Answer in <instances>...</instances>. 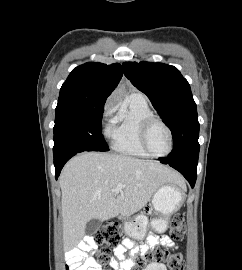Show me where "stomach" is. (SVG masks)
<instances>
[{"mask_svg": "<svg viewBox=\"0 0 242 270\" xmlns=\"http://www.w3.org/2000/svg\"><path fill=\"white\" fill-rule=\"evenodd\" d=\"M185 187L167 183L154 193L152 204L159 218L151 221V227L158 233L166 231L170 217L179 210L184 202ZM148 219L145 215H137L124 223V231L129 237L142 240L146 236Z\"/></svg>", "mask_w": 242, "mask_h": 270, "instance_id": "0dacf381", "label": "stomach"}]
</instances>
